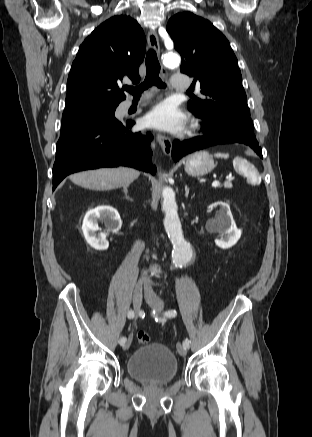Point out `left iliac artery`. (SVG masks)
<instances>
[{
  "label": "left iliac artery",
  "instance_id": "44dca946",
  "mask_svg": "<svg viewBox=\"0 0 312 437\" xmlns=\"http://www.w3.org/2000/svg\"><path fill=\"white\" fill-rule=\"evenodd\" d=\"M176 314H177V312H176L175 310H168L167 312H165L164 315H165L166 317L172 318V317H175ZM183 345H184L186 348H189L190 341H189L188 338H186V339L183 341Z\"/></svg>",
  "mask_w": 312,
  "mask_h": 437
}]
</instances>
